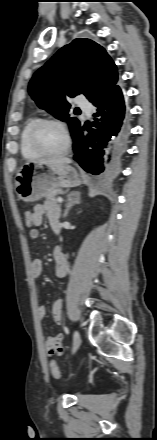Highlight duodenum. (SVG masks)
I'll use <instances>...</instances> for the list:
<instances>
[{"label":"duodenum","instance_id":"obj_1","mask_svg":"<svg viewBox=\"0 0 157 440\" xmlns=\"http://www.w3.org/2000/svg\"><path fill=\"white\" fill-rule=\"evenodd\" d=\"M54 232H55L56 234H58V233H59V228H58V229H55Z\"/></svg>","mask_w":157,"mask_h":440}]
</instances>
